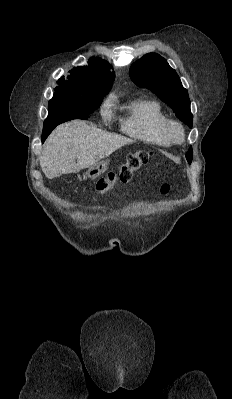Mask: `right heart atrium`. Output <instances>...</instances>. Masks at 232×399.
<instances>
[{
	"label": "right heart atrium",
	"mask_w": 232,
	"mask_h": 399,
	"mask_svg": "<svg viewBox=\"0 0 232 399\" xmlns=\"http://www.w3.org/2000/svg\"><path fill=\"white\" fill-rule=\"evenodd\" d=\"M100 116L103 123H107L113 117V109L110 105L104 104L100 107Z\"/></svg>",
	"instance_id": "right-heart-atrium-1"
}]
</instances>
